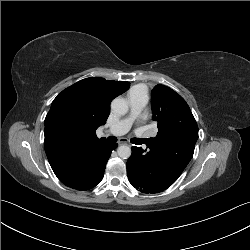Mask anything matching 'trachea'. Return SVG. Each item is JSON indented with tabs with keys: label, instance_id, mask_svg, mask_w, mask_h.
<instances>
[{
	"label": "trachea",
	"instance_id": "1",
	"mask_svg": "<svg viewBox=\"0 0 250 250\" xmlns=\"http://www.w3.org/2000/svg\"><path fill=\"white\" fill-rule=\"evenodd\" d=\"M108 140L111 141V142H117V138L114 137V136H110L108 138ZM144 141H145L144 139H139V138H133L132 139V143L137 144V145L144 143Z\"/></svg>",
	"mask_w": 250,
	"mask_h": 250
}]
</instances>
